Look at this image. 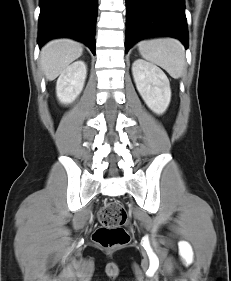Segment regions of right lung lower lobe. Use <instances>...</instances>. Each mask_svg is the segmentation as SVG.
Returning a JSON list of instances; mask_svg holds the SVG:
<instances>
[{
	"label": "right lung lower lobe",
	"mask_w": 231,
	"mask_h": 281,
	"mask_svg": "<svg viewBox=\"0 0 231 281\" xmlns=\"http://www.w3.org/2000/svg\"><path fill=\"white\" fill-rule=\"evenodd\" d=\"M98 0H40L38 44L68 37L87 45L95 54Z\"/></svg>",
	"instance_id": "98d812e1"
}]
</instances>
